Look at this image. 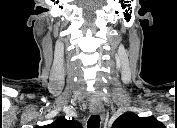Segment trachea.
<instances>
[{
  "label": "trachea",
  "instance_id": "3493384b",
  "mask_svg": "<svg viewBox=\"0 0 177 128\" xmlns=\"http://www.w3.org/2000/svg\"><path fill=\"white\" fill-rule=\"evenodd\" d=\"M99 126H100V116L91 115L87 122V128H99Z\"/></svg>",
  "mask_w": 177,
  "mask_h": 128
}]
</instances>
